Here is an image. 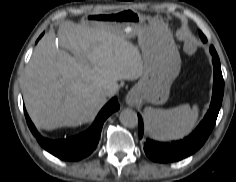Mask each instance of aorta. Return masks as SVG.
I'll return each mask as SVG.
<instances>
[{"label": "aorta", "mask_w": 236, "mask_h": 182, "mask_svg": "<svg viewBox=\"0 0 236 182\" xmlns=\"http://www.w3.org/2000/svg\"><path fill=\"white\" fill-rule=\"evenodd\" d=\"M119 119L122 125L128 128H135L138 125L137 113L132 109H124L120 113Z\"/></svg>", "instance_id": "obj_1"}]
</instances>
